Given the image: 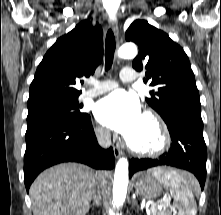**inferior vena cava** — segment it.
Listing matches in <instances>:
<instances>
[{"label":"inferior vena cava","instance_id":"1","mask_svg":"<svg viewBox=\"0 0 221 215\" xmlns=\"http://www.w3.org/2000/svg\"><path fill=\"white\" fill-rule=\"evenodd\" d=\"M97 137H98L99 144L102 147H104V148L110 147V145H111V135H110V132L108 130H100V131H98ZM100 193H101V187H100L99 182H98L97 183L96 192L93 195L94 201L96 199H100L101 198Z\"/></svg>","mask_w":221,"mask_h":215}]
</instances>
